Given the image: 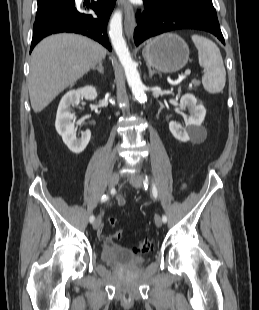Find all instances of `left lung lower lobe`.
Masks as SVG:
<instances>
[{"label":"left lung lower lobe","instance_id":"0a47b994","mask_svg":"<svg viewBox=\"0 0 259 310\" xmlns=\"http://www.w3.org/2000/svg\"><path fill=\"white\" fill-rule=\"evenodd\" d=\"M143 1L144 9L138 15L134 31L136 46L152 36L176 29L204 30L225 44L212 2L194 1L166 5L155 0Z\"/></svg>","mask_w":259,"mask_h":310}]
</instances>
